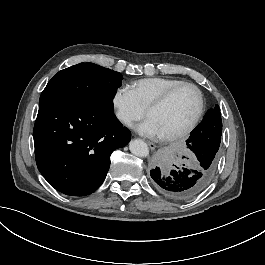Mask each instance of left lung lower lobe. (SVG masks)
I'll return each instance as SVG.
<instances>
[{"instance_id":"left-lung-lower-lobe-1","label":"left lung lower lobe","mask_w":265,"mask_h":265,"mask_svg":"<svg viewBox=\"0 0 265 265\" xmlns=\"http://www.w3.org/2000/svg\"><path fill=\"white\" fill-rule=\"evenodd\" d=\"M186 143L197 157L192 167H175L171 170L156 167L150 171L152 186L172 200L194 198L206 189L216 174L220 142L192 132Z\"/></svg>"}]
</instances>
